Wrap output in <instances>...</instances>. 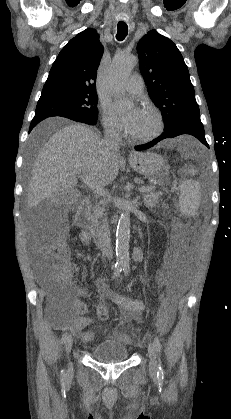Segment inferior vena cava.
Instances as JSON below:
<instances>
[{"label":"inferior vena cava","instance_id":"602c4592","mask_svg":"<svg viewBox=\"0 0 231 419\" xmlns=\"http://www.w3.org/2000/svg\"><path fill=\"white\" fill-rule=\"evenodd\" d=\"M120 134L112 125H107L104 132V143L107 151L117 152L119 150ZM98 245L103 255L111 260L113 258V250L111 245L110 230L107 218L103 219L98 235Z\"/></svg>","mask_w":231,"mask_h":419}]
</instances>
